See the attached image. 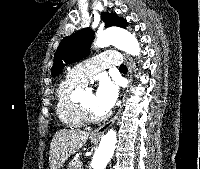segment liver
<instances>
[{
    "mask_svg": "<svg viewBox=\"0 0 200 169\" xmlns=\"http://www.w3.org/2000/svg\"><path fill=\"white\" fill-rule=\"evenodd\" d=\"M88 137L89 133L81 130L57 131L50 144V169H60L71 155L82 148Z\"/></svg>",
    "mask_w": 200,
    "mask_h": 169,
    "instance_id": "6515ba94",
    "label": "liver"
}]
</instances>
